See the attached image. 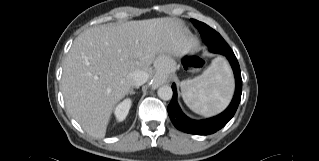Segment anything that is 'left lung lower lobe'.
Instances as JSON below:
<instances>
[{
    "mask_svg": "<svg viewBox=\"0 0 319 161\" xmlns=\"http://www.w3.org/2000/svg\"><path fill=\"white\" fill-rule=\"evenodd\" d=\"M197 28L200 31L202 30L199 26H197ZM205 33L211 36L209 32L205 31ZM221 54L226 56L229 60L234 72L236 82L235 94L230 105L227 107L225 111H223L221 114L215 117L204 120L190 119L181 111L177 103L176 86L175 84H172L173 97L170 104L168 105V114L172 123L178 130L195 135H209L223 128L234 116L240 103L242 94V79L240 66L231 48L228 50H224Z\"/></svg>",
    "mask_w": 319,
    "mask_h": 161,
    "instance_id": "left-lung-lower-lobe-1",
    "label": "left lung lower lobe"
}]
</instances>
